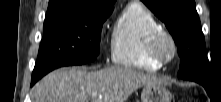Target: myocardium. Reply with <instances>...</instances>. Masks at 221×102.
I'll list each match as a JSON object with an SVG mask.
<instances>
[{"instance_id": "1", "label": "myocardium", "mask_w": 221, "mask_h": 102, "mask_svg": "<svg viewBox=\"0 0 221 102\" xmlns=\"http://www.w3.org/2000/svg\"><path fill=\"white\" fill-rule=\"evenodd\" d=\"M168 45L171 49L170 54L164 53V47ZM148 56L159 65L171 63L177 54V44L172 35L164 29H159L151 33L146 46Z\"/></svg>"}]
</instances>
